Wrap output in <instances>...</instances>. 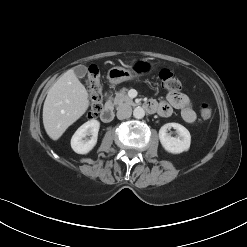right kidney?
Wrapping results in <instances>:
<instances>
[{
	"label": "right kidney",
	"mask_w": 247,
	"mask_h": 247,
	"mask_svg": "<svg viewBox=\"0 0 247 247\" xmlns=\"http://www.w3.org/2000/svg\"><path fill=\"white\" fill-rule=\"evenodd\" d=\"M100 122L92 119L80 126L71 139V147L78 154H87L97 143ZM88 136H91L88 138Z\"/></svg>",
	"instance_id": "right-kidney-1"
}]
</instances>
